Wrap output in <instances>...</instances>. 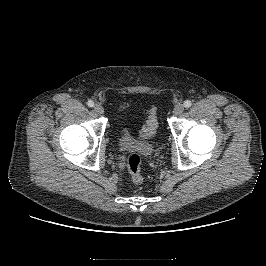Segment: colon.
Masks as SVG:
<instances>
[{
  "mask_svg": "<svg viewBox=\"0 0 266 266\" xmlns=\"http://www.w3.org/2000/svg\"><path fill=\"white\" fill-rule=\"evenodd\" d=\"M147 115V121L140 132V136L146 139L152 137L156 133L158 127L156 110L154 108L149 109L147 111ZM127 169L133 183L141 184L143 182L140 155H129V157L127 158Z\"/></svg>",
  "mask_w": 266,
  "mask_h": 266,
  "instance_id": "5ec220e1",
  "label": "colon"
}]
</instances>
